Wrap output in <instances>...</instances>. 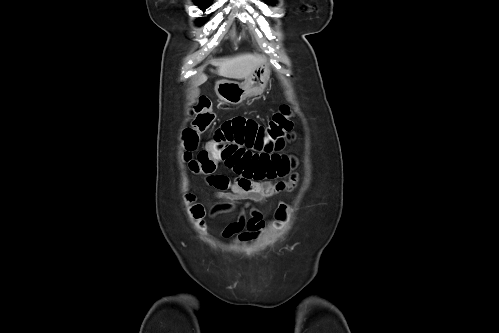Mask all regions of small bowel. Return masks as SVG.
Masks as SVG:
<instances>
[{
	"instance_id": "c3829d8e",
	"label": "small bowel",
	"mask_w": 499,
	"mask_h": 333,
	"mask_svg": "<svg viewBox=\"0 0 499 333\" xmlns=\"http://www.w3.org/2000/svg\"><path fill=\"white\" fill-rule=\"evenodd\" d=\"M288 134L273 141L266 127L254 120L237 117L224 122L215 132L214 140L222 161L236 177L230 180L224 175H210L207 181L218 190L217 196L229 202L249 200L262 204L269 197L292 190L297 181L294 174L288 181L271 182L290 172V158L282 153ZM263 228L262 216L254 210L249 218L242 215L227 225L221 234L245 242L258 237Z\"/></svg>"
}]
</instances>
